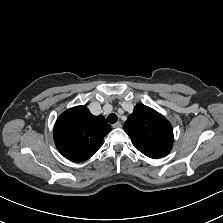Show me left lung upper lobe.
Masks as SVG:
<instances>
[{
  "label": "left lung upper lobe",
  "instance_id": "obj_1",
  "mask_svg": "<svg viewBox=\"0 0 223 223\" xmlns=\"http://www.w3.org/2000/svg\"><path fill=\"white\" fill-rule=\"evenodd\" d=\"M133 145L151 158H160L170 152L173 130L169 121L154 109L138 104L124 124Z\"/></svg>",
  "mask_w": 223,
  "mask_h": 223
}]
</instances>
